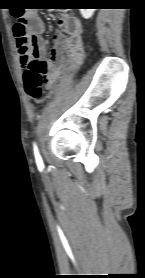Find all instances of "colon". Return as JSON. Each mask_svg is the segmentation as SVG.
Masks as SVG:
<instances>
[{"mask_svg":"<svg viewBox=\"0 0 145 278\" xmlns=\"http://www.w3.org/2000/svg\"><path fill=\"white\" fill-rule=\"evenodd\" d=\"M14 35L20 51L29 50L30 35L26 20L20 18L14 26ZM25 89L28 96L34 101H40L46 86V64L39 57H31L24 71Z\"/></svg>","mask_w":145,"mask_h":278,"instance_id":"colon-1","label":"colon"}]
</instances>
